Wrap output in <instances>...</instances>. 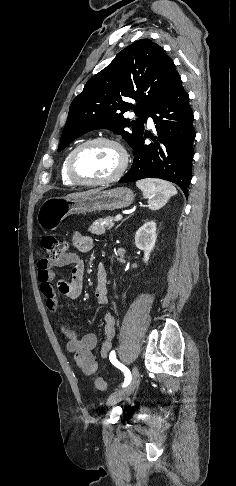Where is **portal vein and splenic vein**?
<instances>
[{
  "instance_id": "18ae733b",
  "label": "portal vein and splenic vein",
  "mask_w": 236,
  "mask_h": 486,
  "mask_svg": "<svg viewBox=\"0 0 236 486\" xmlns=\"http://www.w3.org/2000/svg\"><path fill=\"white\" fill-rule=\"evenodd\" d=\"M122 219V215H117L115 218H114V221L118 222Z\"/></svg>"
}]
</instances>
